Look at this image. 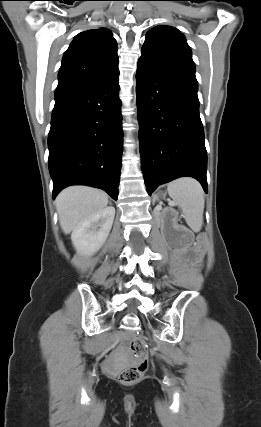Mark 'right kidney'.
I'll return each mask as SVG.
<instances>
[{"label": "right kidney", "instance_id": "ca27d5eb", "mask_svg": "<svg viewBox=\"0 0 261 427\" xmlns=\"http://www.w3.org/2000/svg\"><path fill=\"white\" fill-rule=\"evenodd\" d=\"M114 216L115 208L109 206L80 223L71 235L76 251L83 255L96 253L110 233Z\"/></svg>", "mask_w": 261, "mask_h": 427}]
</instances>
